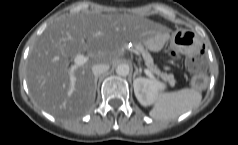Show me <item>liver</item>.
I'll list each match as a JSON object with an SVG mask.
<instances>
[{
    "label": "liver",
    "mask_w": 238,
    "mask_h": 145,
    "mask_svg": "<svg viewBox=\"0 0 238 145\" xmlns=\"http://www.w3.org/2000/svg\"><path fill=\"white\" fill-rule=\"evenodd\" d=\"M166 28L130 14L73 12L54 20L30 50L27 84L35 102L57 118L88 112L95 101L92 67L114 64L124 46L145 42ZM89 52L90 60L71 71L70 58ZM71 75L75 78L72 89Z\"/></svg>",
    "instance_id": "obj_1"
}]
</instances>
